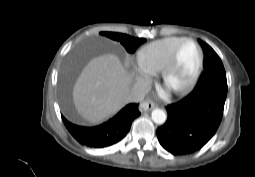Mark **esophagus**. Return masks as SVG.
Wrapping results in <instances>:
<instances>
[{
    "label": "esophagus",
    "mask_w": 255,
    "mask_h": 177,
    "mask_svg": "<svg viewBox=\"0 0 255 177\" xmlns=\"http://www.w3.org/2000/svg\"><path fill=\"white\" fill-rule=\"evenodd\" d=\"M155 107H156V105L153 102H151L149 100H144L140 103L139 110L141 113H145V112L152 110Z\"/></svg>",
    "instance_id": "obj_1"
}]
</instances>
